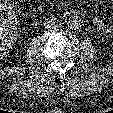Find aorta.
<instances>
[{
	"label": "aorta",
	"instance_id": "1",
	"mask_svg": "<svg viewBox=\"0 0 113 113\" xmlns=\"http://www.w3.org/2000/svg\"><path fill=\"white\" fill-rule=\"evenodd\" d=\"M68 27L72 30H77L82 26V20L79 16H71L67 21Z\"/></svg>",
	"mask_w": 113,
	"mask_h": 113
}]
</instances>
